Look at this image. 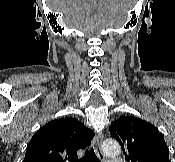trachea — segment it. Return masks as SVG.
Instances as JSON below:
<instances>
[{"instance_id": "obj_1", "label": "trachea", "mask_w": 175, "mask_h": 162, "mask_svg": "<svg viewBox=\"0 0 175 162\" xmlns=\"http://www.w3.org/2000/svg\"><path fill=\"white\" fill-rule=\"evenodd\" d=\"M74 162H100L97 158L94 149H87L85 155L80 160H74Z\"/></svg>"}]
</instances>
